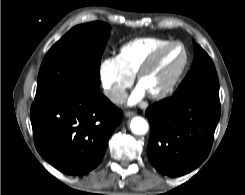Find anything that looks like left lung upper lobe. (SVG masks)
Listing matches in <instances>:
<instances>
[{
	"label": "left lung upper lobe",
	"instance_id": "5c2ea615",
	"mask_svg": "<svg viewBox=\"0 0 245 195\" xmlns=\"http://www.w3.org/2000/svg\"><path fill=\"white\" fill-rule=\"evenodd\" d=\"M195 57L187 76L173 96L219 100V81L209 55L194 45Z\"/></svg>",
	"mask_w": 245,
	"mask_h": 195
}]
</instances>
